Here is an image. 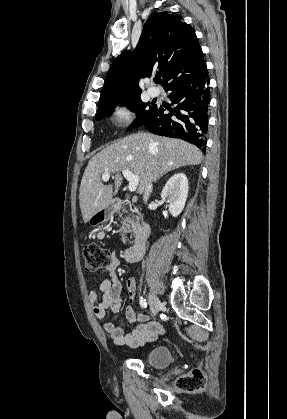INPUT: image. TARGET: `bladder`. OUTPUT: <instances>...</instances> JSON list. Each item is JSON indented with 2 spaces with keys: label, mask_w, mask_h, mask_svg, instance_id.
Instances as JSON below:
<instances>
[{
  "label": "bladder",
  "mask_w": 287,
  "mask_h": 419,
  "mask_svg": "<svg viewBox=\"0 0 287 419\" xmlns=\"http://www.w3.org/2000/svg\"><path fill=\"white\" fill-rule=\"evenodd\" d=\"M172 353L166 346H157L149 350L145 360L155 367H166L172 362Z\"/></svg>",
  "instance_id": "31cf9c89"
}]
</instances>
